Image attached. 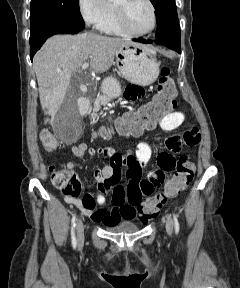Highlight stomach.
<instances>
[{
	"label": "stomach",
	"instance_id": "1",
	"mask_svg": "<svg viewBox=\"0 0 240 288\" xmlns=\"http://www.w3.org/2000/svg\"><path fill=\"white\" fill-rule=\"evenodd\" d=\"M121 75L135 85L152 84L159 75V62L156 53L146 46L123 45L115 53V62ZM102 92L115 98L121 94L119 83L112 77L102 83Z\"/></svg>",
	"mask_w": 240,
	"mask_h": 288
}]
</instances>
